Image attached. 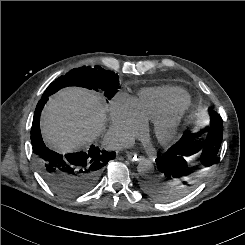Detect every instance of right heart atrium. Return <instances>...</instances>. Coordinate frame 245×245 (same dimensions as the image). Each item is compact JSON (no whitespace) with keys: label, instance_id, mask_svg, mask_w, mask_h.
Returning a JSON list of instances; mask_svg holds the SVG:
<instances>
[{"label":"right heart atrium","instance_id":"1","mask_svg":"<svg viewBox=\"0 0 245 245\" xmlns=\"http://www.w3.org/2000/svg\"><path fill=\"white\" fill-rule=\"evenodd\" d=\"M109 118V133L118 145H128L146 128V122L139 115L135 100L125 94H118L112 98Z\"/></svg>","mask_w":245,"mask_h":245}]
</instances>
